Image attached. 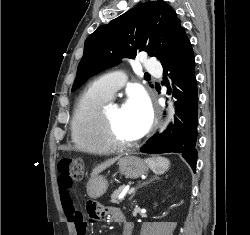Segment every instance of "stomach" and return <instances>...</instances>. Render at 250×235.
I'll list each match as a JSON object with an SVG mask.
<instances>
[{"label":"stomach","instance_id":"0dacf381","mask_svg":"<svg viewBox=\"0 0 250 235\" xmlns=\"http://www.w3.org/2000/svg\"><path fill=\"white\" fill-rule=\"evenodd\" d=\"M119 171L126 178L135 179L148 170L146 163L135 156H124L118 161ZM108 188V182L103 176L93 177L87 186V193L91 198L101 197Z\"/></svg>","mask_w":250,"mask_h":235}]
</instances>
